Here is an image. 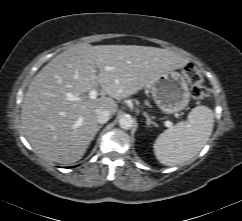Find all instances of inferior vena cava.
Listing matches in <instances>:
<instances>
[{
    "label": "inferior vena cava",
    "mask_w": 242,
    "mask_h": 221,
    "mask_svg": "<svg viewBox=\"0 0 242 221\" xmlns=\"http://www.w3.org/2000/svg\"><path fill=\"white\" fill-rule=\"evenodd\" d=\"M96 117H97L98 123L104 124L110 119L111 112L107 109H98L96 111Z\"/></svg>",
    "instance_id": "1"
}]
</instances>
